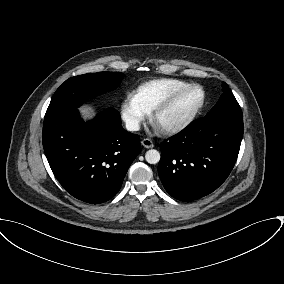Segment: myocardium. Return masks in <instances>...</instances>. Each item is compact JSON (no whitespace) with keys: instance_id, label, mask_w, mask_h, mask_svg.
Listing matches in <instances>:
<instances>
[{"instance_id":"myocardium-1","label":"myocardium","mask_w":284,"mask_h":284,"mask_svg":"<svg viewBox=\"0 0 284 284\" xmlns=\"http://www.w3.org/2000/svg\"><path fill=\"white\" fill-rule=\"evenodd\" d=\"M191 89H199L202 93V98L200 103L195 107V109L188 114L186 117L182 118L173 123L160 125L158 120L162 114L168 111L176 102L177 100L188 90ZM206 103V91L205 89L199 84H188L174 93H172L167 99H165L161 104H159L151 113V122L152 124L163 134H175L183 131L186 129L199 115L202 111Z\"/></svg>"}]
</instances>
